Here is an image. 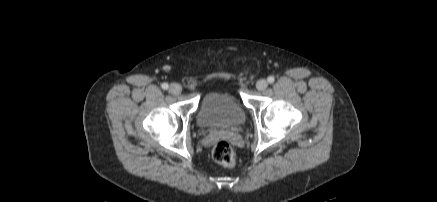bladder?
Segmentation results:
<instances>
[{"instance_id":"1","label":"bladder","mask_w":437,"mask_h":202,"mask_svg":"<svg viewBox=\"0 0 437 202\" xmlns=\"http://www.w3.org/2000/svg\"><path fill=\"white\" fill-rule=\"evenodd\" d=\"M245 121V111L240 102L228 92L207 93L200 104L197 122L202 128H229Z\"/></svg>"}]
</instances>
